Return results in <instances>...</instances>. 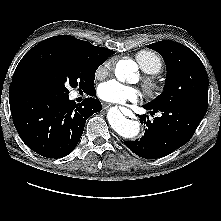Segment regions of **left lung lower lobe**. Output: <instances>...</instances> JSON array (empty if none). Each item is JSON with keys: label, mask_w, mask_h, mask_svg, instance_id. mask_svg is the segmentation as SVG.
Returning <instances> with one entry per match:
<instances>
[{"label": "left lung lower lobe", "mask_w": 221, "mask_h": 221, "mask_svg": "<svg viewBox=\"0 0 221 221\" xmlns=\"http://www.w3.org/2000/svg\"><path fill=\"white\" fill-rule=\"evenodd\" d=\"M152 110L151 114L161 112L160 117L149 120L147 115H138L140 122L146 125L144 136L140 140L124 141L136 155L156 159L164 157L187 143L207 111V106L187 107L174 104L165 108L143 106Z\"/></svg>", "instance_id": "obj_1"}]
</instances>
